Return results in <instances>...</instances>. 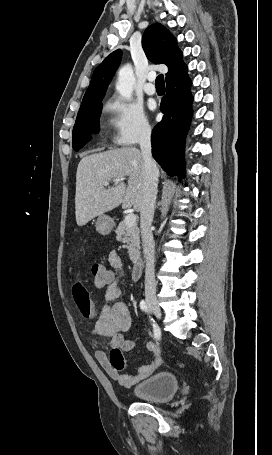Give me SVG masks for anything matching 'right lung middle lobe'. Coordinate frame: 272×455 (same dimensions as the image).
<instances>
[{
  "label": "right lung middle lobe",
  "mask_w": 272,
  "mask_h": 455,
  "mask_svg": "<svg viewBox=\"0 0 272 455\" xmlns=\"http://www.w3.org/2000/svg\"><path fill=\"white\" fill-rule=\"evenodd\" d=\"M101 109L102 104H97L79 111L73 128L72 147L75 151L92 139L90 134L99 132Z\"/></svg>",
  "instance_id": "1"
}]
</instances>
